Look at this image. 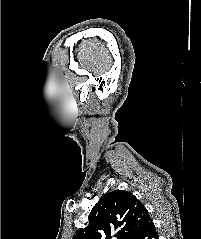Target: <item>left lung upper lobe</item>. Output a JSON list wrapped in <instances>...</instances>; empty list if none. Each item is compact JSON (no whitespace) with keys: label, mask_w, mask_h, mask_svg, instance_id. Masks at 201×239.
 Masks as SVG:
<instances>
[{"label":"left lung upper lobe","mask_w":201,"mask_h":239,"mask_svg":"<svg viewBox=\"0 0 201 239\" xmlns=\"http://www.w3.org/2000/svg\"><path fill=\"white\" fill-rule=\"evenodd\" d=\"M87 227L73 239H132L151 220L148 211L131 192L106 193L89 214Z\"/></svg>","instance_id":"5c2ea615"}]
</instances>
